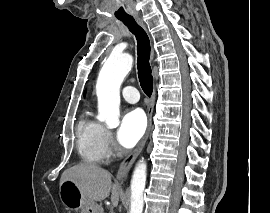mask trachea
I'll list each match as a JSON object with an SVG mask.
<instances>
[{
	"label": "trachea",
	"instance_id": "3493384b",
	"mask_svg": "<svg viewBox=\"0 0 270 213\" xmlns=\"http://www.w3.org/2000/svg\"><path fill=\"white\" fill-rule=\"evenodd\" d=\"M122 22L135 35L137 39V69L140 85L147 96H151L153 91V76L149 63L150 40L144 29L139 26L133 18L122 19Z\"/></svg>",
	"mask_w": 270,
	"mask_h": 213
}]
</instances>
